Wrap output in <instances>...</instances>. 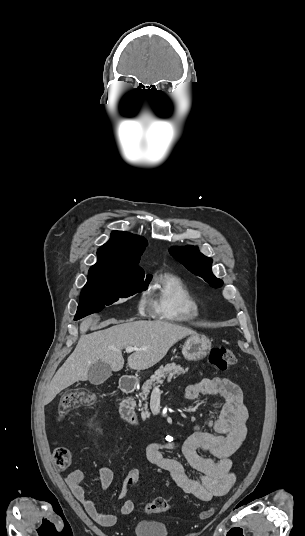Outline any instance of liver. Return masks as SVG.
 <instances>
[{
  "mask_svg": "<svg viewBox=\"0 0 305 536\" xmlns=\"http://www.w3.org/2000/svg\"><path fill=\"white\" fill-rule=\"evenodd\" d=\"M133 320L135 318L128 320L129 324H119L112 318V320H106L104 326L108 324H118V326L86 334L93 322H99V320H95L93 316L84 318L80 324V340L73 354L59 368L46 388L44 406L50 404L57 394L75 382H86L91 366L99 360L109 364L113 372L122 370L124 366L122 350H125L127 346L146 348V350L131 354L127 362L131 370H148L166 356L173 344L186 336L196 334L189 328H182V326L161 322V320H155V322H146V320L133 322Z\"/></svg>",
  "mask_w": 305,
  "mask_h": 536,
  "instance_id": "liver-1",
  "label": "liver"
}]
</instances>
